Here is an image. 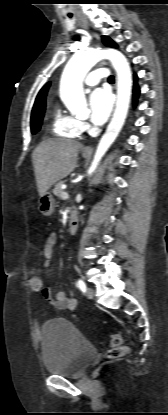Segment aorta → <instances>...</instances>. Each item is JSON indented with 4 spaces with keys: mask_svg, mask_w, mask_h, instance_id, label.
Masks as SVG:
<instances>
[{
    "mask_svg": "<svg viewBox=\"0 0 168 415\" xmlns=\"http://www.w3.org/2000/svg\"><path fill=\"white\" fill-rule=\"evenodd\" d=\"M101 59L110 60L117 72V101L113 118L98 144L89 168V174L95 171L101 158L124 125L131 97V70L125 56L116 49L80 51L68 61L60 83V97L67 109L72 112L85 110L86 99L83 92V80L88 71Z\"/></svg>",
    "mask_w": 168,
    "mask_h": 415,
    "instance_id": "762f6f07",
    "label": "aorta"
}]
</instances>
